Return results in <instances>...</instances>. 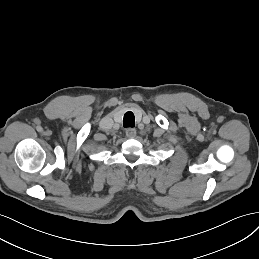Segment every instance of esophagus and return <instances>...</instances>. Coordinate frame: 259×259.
Listing matches in <instances>:
<instances>
[{
  "mask_svg": "<svg viewBox=\"0 0 259 259\" xmlns=\"http://www.w3.org/2000/svg\"><path fill=\"white\" fill-rule=\"evenodd\" d=\"M136 133H137L136 129H134V128H129L126 130V136L128 138H134L136 136Z\"/></svg>",
  "mask_w": 259,
  "mask_h": 259,
  "instance_id": "34e87169",
  "label": "esophagus"
}]
</instances>
